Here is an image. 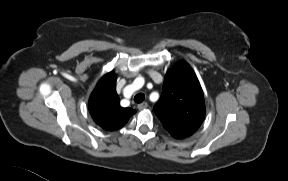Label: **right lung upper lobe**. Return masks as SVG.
Segmentation results:
<instances>
[{
    "instance_id": "obj_1",
    "label": "right lung upper lobe",
    "mask_w": 288,
    "mask_h": 181,
    "mask_svg": "<svg viewBox=\"0 0 288 181\" xmlns=\"http://www.w3.org/2000/svg\"><path fill=\"white\" fill-rule=\"evenodd\" d=\"M89 111L93 120L104 130L114 131L125 125L135 113L131 108H122L116 93V75L110 72L96 85L89 99Z\"/></svg>"
}]
</instances>
